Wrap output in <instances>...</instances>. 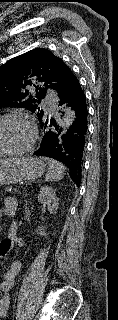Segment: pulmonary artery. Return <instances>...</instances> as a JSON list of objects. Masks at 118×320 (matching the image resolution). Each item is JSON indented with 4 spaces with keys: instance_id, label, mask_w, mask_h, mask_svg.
Instances as JSON below:
<instances>
[{
    "instance_id": "pulmonary-artery-1",
    "label": "pulmonary artery",
    "mask_w": 118,
    "mask_h": 320,
    "mask_svg": "<svg viewBox=\"0 0 118 320\" xmlns=\"http://www.w3.org/2000/svg\"><path fill=\"white\" fill-rule=\"evenodd\" d=\"M55 98L52 95H48L46 97V101L44 102V104L46 105V107L54 112L55 111V103H54Z\"/></svg>"
}]
</instances>
